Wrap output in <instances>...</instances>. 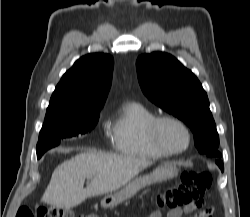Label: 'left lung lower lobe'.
<instances>
[{"instance_id":"0a47b994","label":"left lung lower lobe","mask_w":250,"mask_h":217,"mask_svg":"<svg viewBox=\"0 0 250 217\" xmlns=\"http://www.w3.org/2000/svg\"><path fill=\"white\" fill-rule=\"evenodd\" d=\"M217 164H218V166L220 167V169L223 171L224 170V166H223V163H222V161H217Z\"/></svg>"}]
</instances>
